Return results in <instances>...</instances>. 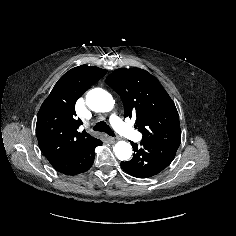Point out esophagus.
<instances>
[{"label":"esophagus","instance_id":"1","mask_svg":"<svg viewBox=\"0 0 236 236\" xmlns=\"http://www.w3.org/2000/svg\"><path fill=\"white\" fill-rule=\"evenodd\" d=\"M109 140H110L112 143H114V142L117 141V138H115V137H109Z\"/></svg>","mask_w":236,"mask_h":236}]
</instances>
